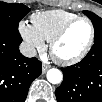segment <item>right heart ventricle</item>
I'll use <instances>...</instances> for the list:
<instances>
[{
	"instance_id": "1",
	"label": "right heart ventricle",
	"mask_w": 102,
	"mask_h": 102,
	"mask_svg": "<svg viewBox=\"0 0 102 102\" xmlns=\"http://www.w3.org/2000/svg\"><path fill=\"white\" fill-rule=\"evenodd\" d=\"M77 17L64 10L39 11L31 16V24L45 41L50 42L55 34Z\"/></svg>"
}]
</instances>
